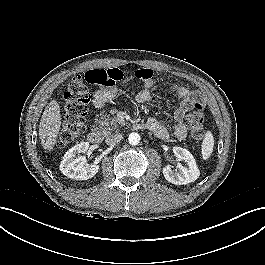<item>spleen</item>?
Returning <instances> with one entry per match:
<instances>
[{"label":"spleen","mask_w":265,"mask_h":265,"mask_svg":"<svg viewBox=\"0 0 265 265\" xmlns=\"http://www.w3.org/2000/svg\"><path fill=\"white\" fill-rule=\"evenodd\" d=\"M213 148H214V137L211 131L208 130L205 133V136L202 142V147H201L202 157L204 160H207L210 158L213 152Z\"/></svg>","instance_id":"1"}]
</instances>
